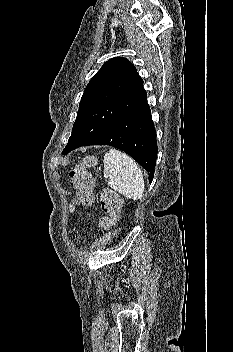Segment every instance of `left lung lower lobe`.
Here are the masks:
<instances>
[{"instance_id": "obj_1", "label": "left lung lower lobe", "mask_w": 233, "mask_h": 352, "mask_svg": "<svg viewBox=\"0 0 233 352\" xmlns=\"http://www.w3.org/2000/svg\"><path fill=\"white\" fill-rule=\"evenodd\" d=\"M88 145H109L126 152L150 172L149 180L152 181L157 141L147 100L121 117L102 135L86 144Z\"/></svg>"}]
</instances>
